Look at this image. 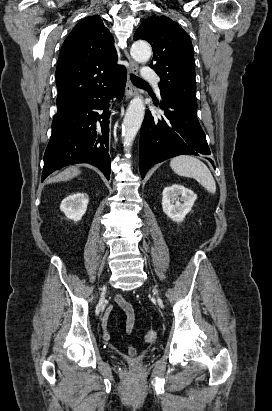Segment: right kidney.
Instances as JSON below:
<instances>
[{
  "label": "right kidney",
  "instance_id": "1",
  "mask_svg": "<svg viewBox=\"0 0 272 411\" xmlns=\"http://www.w3.org/2000/svg\"><path fill=\"white\" fill-rule=\"evenodd\" d=\"M89 198L86 193H74L67 196L61 202L60 209L68 219L75 222L82 219L87 210Z\"/></svg>",
  "mask_w": 272,
  "mask_h": 411
}]
</instances>
